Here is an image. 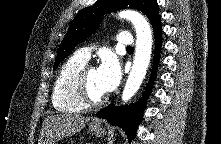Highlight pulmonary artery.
<instances>
[{
    "label": "pulmonary artery",
    "instance_id": "obj_1",
    "mask_svg": "<svg viewBox=\"0 0 221 144\" xmlns=\"http://www.w3.org/2000/svg\"><path fill=\"white\" fill-rule=\"evenodd\" d=\"M116 40L119 44L125 46H131L133 44V37L127 31L120 32L117 35ZM77 54L86 61H88L91 56V48L88 47L81 48L77 51Z\"/></svg>",
    "mask_w": 221,
    "mask_h": 144
}]
</instances>
